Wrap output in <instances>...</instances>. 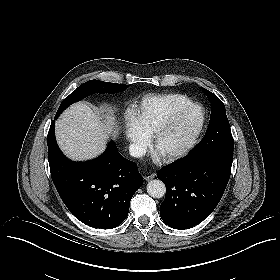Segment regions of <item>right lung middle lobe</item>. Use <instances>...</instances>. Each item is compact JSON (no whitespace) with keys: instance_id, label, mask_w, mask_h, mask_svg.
<instances>
[{"instance_id":"right-lung-middle-lobe-1","label":"right lung middle lobe","mask_w":280,"mask_h":280,"mask_svg":"<svg viewBox=\"0 0 280 280\" xmlns=\"http://www.w3.org/2000/svg\"><path fill=\"white\" fill-rule=\"evenodd\" d=\"M128 85L103 82L99 80H90L80 85L75 91L67 96L59 106L55 115V119L66 109L69 105L77 102L92 93H117L125 90Z\"/></svg>"}]
</instances>
